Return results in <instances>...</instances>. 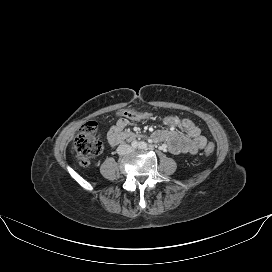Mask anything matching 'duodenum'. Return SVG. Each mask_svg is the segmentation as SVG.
<instances>
[{"instance_id": "duodenum-1", "label": "duodenum", "mask_w": 272, "mask_h": 272, "mask_svg": "<svg viewBox=\"0 0 272 272\" xmlns=\"http://www.w3.org/2000/svg\"><path fill=\"white\" fill-rule=\"evenodd\" d=\"M138 135L134 132H120L116 136V144L124 142V141H132L135 140Z\"/></svg>"}]
</instances>
